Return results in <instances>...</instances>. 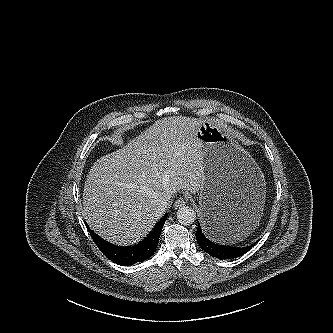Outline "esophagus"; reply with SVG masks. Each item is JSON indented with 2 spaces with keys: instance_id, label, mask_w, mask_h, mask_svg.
<instances>
[{
  "instance_id": "1",
  "label": "esophagus",
  "mask_w": 333,
  "mask_h": 333,
  "mask_svg": "<svg viewBox=\"0 0 333 333\" xmlns=\"http://www.w3.org/2000/svg\"><path fill=\"white\" fill-rule=\"evenodd\" d=\"M186 201H187L186 198L183 197L178 198L174 203V208L179 209L183 207L186 204Z\"/></svg>"
}]
</instances>
